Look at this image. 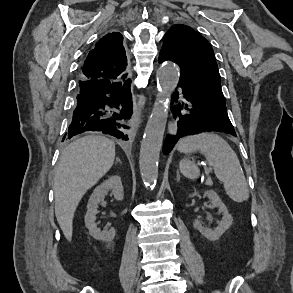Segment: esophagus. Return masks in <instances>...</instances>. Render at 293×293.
<instances>
[{
	"label": "esophagus",
	"instance_id": "34e87169",
	"mask_svg": "<svg viewBox=\"0 0 293 293\" xmlns=\"http://www.w3.org/2000/svg\"><path fill=\"white\" fill-rule=\"evenodd\" d=\"M140 113L137 114V122H138V125L141 123V118H140Z\"/></svg>",
	"mask_w": 293,
	"mask_h": 293
}]
</instances>
